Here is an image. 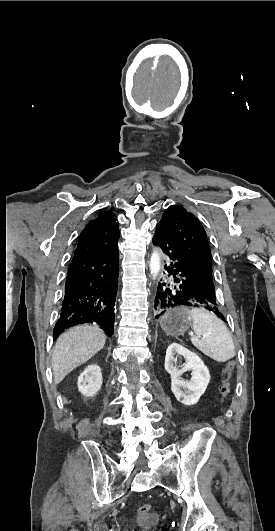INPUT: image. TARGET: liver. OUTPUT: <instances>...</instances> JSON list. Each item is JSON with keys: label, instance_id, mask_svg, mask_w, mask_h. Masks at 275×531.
I'll use <instances>...</instances> for the list:
<instances>
[{"label": "liver", "instance_id": "1", "mask_svg": "<svg viewBox=\"0 0 275 531\" xmlns=\"http://www.w3.org/2000/svg\"><path fill=\"white\" fill-rule=\"evenodd\" d=\"M106 335L98 325H78L62 333L56 341L52 355L55 385L103 349Z\"/></svg>", "mask_w": 275, "mask_h": 531}]
</instances>
